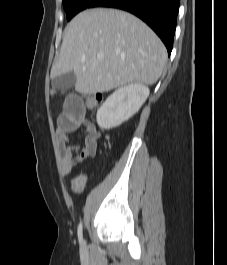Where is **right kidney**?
<instances>
[{"label":"right kidney","mask_w":227,"mask_h":265,"mask_svg":"<svg viewBox=\"0 0 227 265\" xmlns=\"http://www.w3.org/2000/svg\"><path fill=\"white\" fill-rule=\"evenodd\" d=\"M149 88L143 84H129L117 89L97 111V123L102 129L121 125L138 112L149 96Z\"/></svg>","instance_id":"ca27d5eb"}]
</instances>
